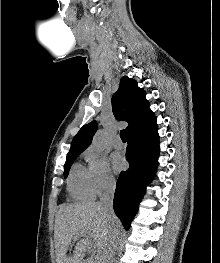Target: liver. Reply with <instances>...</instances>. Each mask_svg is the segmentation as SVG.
<instances>
[{"label":"liver","instance_id":"1","mask_svg":"<svg viewBox=\"0 0 220 263\" xmlns=\"http://www.w3.org/2000/svg\"><path fill=\"white\" fill-rule=\"evenodd\" d=\"M112 227L121 230L119 219H108L99 202H78L62 205L55 217L54 242L56 263H93L84 261L86 251L97 253L103 259ZM77 238L73 254L67 255L69 246Z\"/></svg>","mask_w":220,"mask_h":263}]
</instances>
